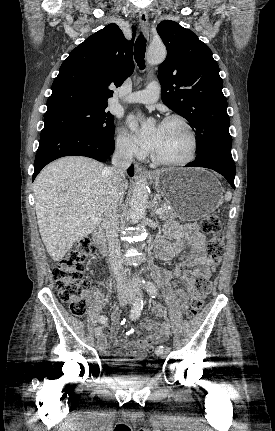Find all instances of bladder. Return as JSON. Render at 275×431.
<instances>
[{
    "instance_id": "1",
    "label": "bladder",
    "mask_w": 275,
    "mask_h": 431,
    "mask_svg": "<svg viewBox=\"0 0 275 431\" xmlns=\"http://www.w3.org/2000/svg\"><path fill=\"white\" fill-rule=\"evenodd\" d=\"M107 375L118 383L148 381L152 372L136 363H120L116 360H105Z\"/></svg>"
}]
</instances>
